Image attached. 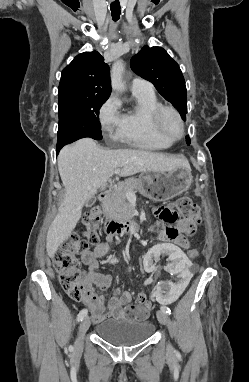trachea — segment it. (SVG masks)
I'll use <instances>...</instances> for the list:
<instances>
[{"label": "trachea", "instance_id": "3493384b", "mask_svg": "<svg viewBox=\"0 0 249 382\" xmlns=\"http://www.w3.org/2000/svg\"><path fill=\"white\" fill-rule=\"evenodd\" d=\"M112 19L116 22L120 18L121 10L119 2H112L110 5Z\"/></svg>", "mask_w": 249, "mask_h": 382}]
</instances>
